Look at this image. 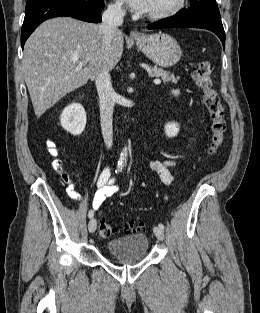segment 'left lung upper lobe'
Instances as JSON below:
<instances>
[{"label": "left lung upper lobe", "mask_w": 260, "mask_h": 313, "mask_svg": "<svg viewBox=\"0 0 260 313\" xmlns=\"http://www.w3.org/2000/svg\"><path fill=\"white\" fill-rule=\"evenodd\" d=\"M190 2L191 7L188 10L178 12L171 18L186 17L222 24L219 9L214 0H190Z\"/></svg>", "instance_id": "5c2ea615"}]
</instances>
